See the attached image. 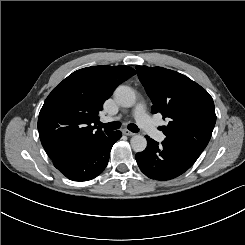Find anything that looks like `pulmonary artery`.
I'll return each instance as SVG.
<instances>
[{
    "instance_id": "1",
    "label": "pulmonary artery",
    "mask_w": 245,
    "mask_h": 245,
    "mask_svg": "<svg viewBox=\"0 0 245 245\" xmlns=\"http://www.w3.org/2000/svg\"><path fill=\"white\" fill-rule=\"evenodd\" d=\"M135 121L138 127L150 137L153 142H160L163 139V132L157 129V123L149 116V107L144 102H139L134 107ZM106 121H110V118H106Z\"/></svg>"
}]
</instances>
